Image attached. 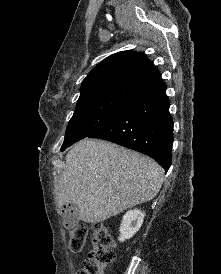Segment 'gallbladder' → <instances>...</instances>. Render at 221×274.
<instances>
[{
  "label": "gallbladder",
  "instance_id": "bac80fb5",
  "mask_svg": "<svg viewBox=\"0 0 221 274\" xmlns=\"http://www.w3.org/2000/svg\"><path fill=\"white\" fill-rule=\"evenodd\" d=\"M68 210L67 217L73 224H77L79 221V210L78 207L75 204H70L66 206Z\"/></svg>",
  "mask_w": 221,
  "mask_h": 274
}]
</instances>
